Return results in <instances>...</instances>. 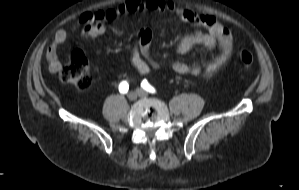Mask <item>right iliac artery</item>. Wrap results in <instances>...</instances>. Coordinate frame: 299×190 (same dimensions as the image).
<instances>
[{
  "label": "right iliac artery",
  "instance_id": "82829eb1",
  "mask_svg": "<svg viewBox=\"0 0 299 190\" xmlns=\"http://www.w3.org/2000/svg\"><path fill=\"white\" fill-rule=\"evenodd\" d=\"M128 89H129V84L127 81H122L119 85V91L121 93H127L128 92Z\"/></svg>",
  "mask_w": 299,
  "mask_h": 190
}]
</instances>
